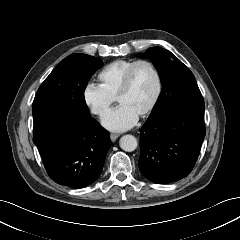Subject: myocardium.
<instances>
[{"instance_id":"1","label":"myocardium","mask_w":240,"mask_h":240,"mask_svg":"<svg viewBox=\"0 0 240 240\" xmlns=\"http://www.w3.org/2000/svg\"><path fill=\"white\" fill-rule=\"evenodd\" d=\"M139 65H147L152 70V72L154 73L155 78H156V82H157L156 93H155L151 103L148 105V107L139 116L140 118H145V117L149 116L154 111V109L156 108V106H157V104H158V102L161 98L162 92H163L162 75H161L160 71L158 70V68L156 67V65L152 61H150L148 59H139V60H136L127 69L116 99H117V102H120L121 98L129 92V90L131 88L133 73Z\"/></svg>"}]
</instances>
